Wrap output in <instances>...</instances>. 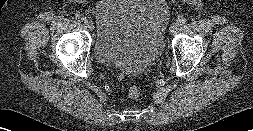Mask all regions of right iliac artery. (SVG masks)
<instances>
[{"instance_id":"82829eb1","label":"right iliac artery","mask_w":253,"mask_h":131,"mask_svg":"<svg viewBox=\"0 0 253 131\" xmlns=\"http://www.w3.org/2000/svg\"><path fill=\"white\" fill-rule=\"evenodd\" d=\"M75 18L80 21L83 22L84 20H86V17L81 15V14H76Z\"/></svg>"}]
</instances>
